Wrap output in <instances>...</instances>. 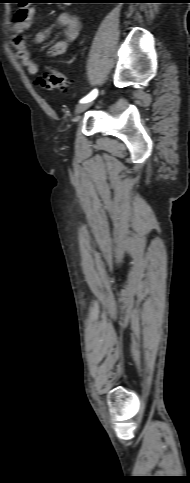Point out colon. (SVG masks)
<instances>
[{"label":"colon","instance_id":"obj_1","mask_svg":"<svg viewBox=\"0 0 190 483\" xmlns=\"http://www.w3.org/2000/svg\"><path fill=\"white\" fill-rule=\"evenodd\" d=\"M31 3H35V1L31 0ZM38 83L43 88L63 92L68 88L71 80L58 69L47 68L38 78Z\"/></svg>","mask_w":190,"mask_h":483}]
</instances>
